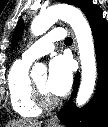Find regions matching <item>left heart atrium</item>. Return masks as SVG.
Instances as JSON below:
<instances>
[{
	"instance_id": "1",
	"label": "left heart atrium",
	"mask_w": 108,
	"mask_h": 127,
	"mask_svg": "<svg viewBox=\"0 0 108 127\" xmlns=\"http://www.w3.org/2000/svg\"><path fill=\"white\" fill-rule=\"evenodd\" d=\"M73 78V68L69 58L59 55L53 58L49 64V74L46 81V90L52 95L65 94Z\"/></svg>"
}]
</instances>
